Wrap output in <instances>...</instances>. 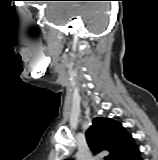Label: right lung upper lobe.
Returning a JSON list of instances; mask_svg holds the SVG:
<instances>
[{
    "mask_svg": "<svg viewBox=\"0 0 158 160\" xmlns=\"http://www.w3.org/2000/svg\"><path fill=\"white\" fill-rule=\"evenodd\" d=\"M86 139L94 154L109 152L106 160H123L136 147L134 139L125 128L108 118H95L86 131Z\"/></svg>",
    "mask_w": 158,
    "mask_h": 160,
    "instance_id": "right-lung-upper-lobe-1",
    "label": "right lung upper lobe"
}]
</instances>
